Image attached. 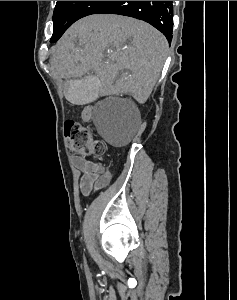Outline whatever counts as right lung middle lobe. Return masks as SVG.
<instances>
[{
  "instance_id": "right-lung-middle-lobe-1",
  "label": "right lung middle lobe",
  "mask_w": 237,
  "mask_h": 300,
  "mask_svg": "<svg viewBox=\"0 0 237 300\" xmlns=\"http://www.w3.org/2000/svg\"><path fill=\"white\" fill-rule=\"evenodd\" d=\"M107 1H57L53 13V35L50 42H56L77 20L94 14Z\"/></svg>"
}]
</instances>
